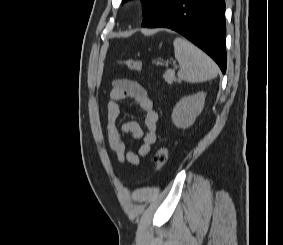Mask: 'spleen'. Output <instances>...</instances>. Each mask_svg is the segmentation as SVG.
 Segmentation results:
<instances>
[{"mask_svg":"<svg viewBox=\"0 0 283 245\" xmlns=\"http://www.w3.org/2000/svg\"><path fill=\"white\" fill-rule=\"evenodd\" d=\"M173 45L175 58L180 65L177 73L179 80L196 83L217 76V65L195 45L180 37L174 39Z\"/></svg>","mask_w":283,"mask_h":245,"instance_id":"obj_1","label":"spleen"}]
</instances>
